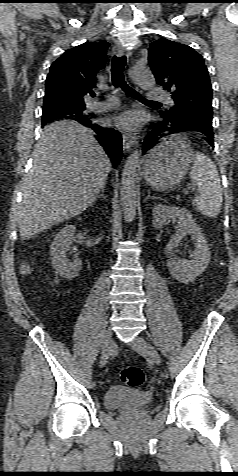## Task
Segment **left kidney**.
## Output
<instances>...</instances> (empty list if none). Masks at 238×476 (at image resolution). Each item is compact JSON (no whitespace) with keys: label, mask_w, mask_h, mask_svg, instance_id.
<instances>
[{"label":"left kidney","mask_w":238,"mask_h":476,"mask_svg":"<svg viewBox=\"0 0 238 476\" xmlns=\"http://www.w3.org/2000/svg\"><path fill=\"white\" fill-rule=\"evenodd\" d=\"M152 213L155 228L167 225L171 221L177 222L178 230L165 247V254L168 257L167 267L176 280L184 284L192 282L205 271L210 262L209 246L201 229L188 210L184 208L157 204L154 206ZM187 234L192 237L195 250L192 254V260L181 261L173 257V249Z\"/></svg>","instance_id":"left-kidney-1"}]
</instances>
